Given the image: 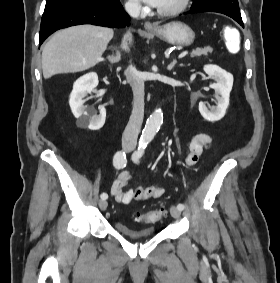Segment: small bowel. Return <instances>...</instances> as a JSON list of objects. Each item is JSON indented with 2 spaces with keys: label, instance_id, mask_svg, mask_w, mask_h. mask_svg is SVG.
<instances>
[{
  "label": "small bowel",
  "instance_id": "c3829d8e",
  "mask_svg": "<svg viewBox=\"0 0 280 283\" xmlns=\"http://www.w3.org/2000/svg\"><path fill=\"white\" fill-rule=\"evenodd\" d=\"M212 145V138L207 133L196 134L190 144L189 152L185 156L184 161L187 166L195 165L202 153L209 149ZM132 176L128 171H122L119 176L114 180L110 194L114 200L121 204H130L133 201H143L150 198H159L163 195L164 189L158 186L143 187L137 185L134 188H128Z\"/></svg>",
  "mask_w": 280,
  "mask_h": 283
}]
</instances>
